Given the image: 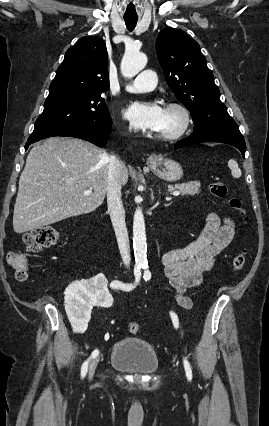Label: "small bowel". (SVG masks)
<instances>
[{"instance_id":"small-bowel-1","label":"small bowel","mask_w":269,"mask_h":426,"mask_svg":"<svg viewBox=\"0 0 269 426\" xmlns=\"http://www.w3.org/2000/svg\"><path fill=\"white\" fill-rule=\"evenodd\" d=\"M237 233L232 218L209 214L194 241L163 254L161 261L165 276L174 289L175 300L181 309L189 310L192 307V301L185 292L200 285L202 275L212 269L218 255L230 245Z\"/></svg>"}]
</instances>
